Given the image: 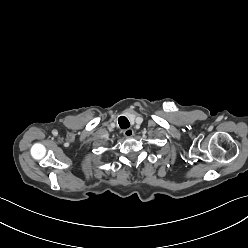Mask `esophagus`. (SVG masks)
<instances>
[{
  "label": "esophagus",
  "instance_id": "obj_1",
  "mask_svg": "<svg viewBox=\"0 0 248 248\" xmlns=\"http://www.w3.org/2000/svg\"><path fill=\"white\" fill-rule=\"evenodd\" d=\"M124 136L130 138L134 135V131L131 128L125 129L123 132Z\"/></svg>",
  "mask_w": 248,
  "mask_h": 248
}]
</instances>
